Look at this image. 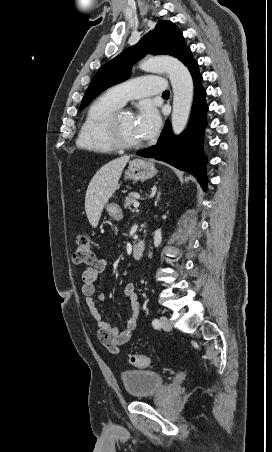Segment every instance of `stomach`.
Here are the masks:
<instances>
[{"instance_id":"0dacf381","label":"stomach","mask_w":272,"mask_h":452,"mask_svg":"<svg viewBox=\"0 0 272 452\" xmlns=\"http://www.w3.org/2000/svg\"><path fill=\"white\" fill-rule=\"evenodd\" d=\"M157 174V169L151 160L135 158L129 162V166L125 171V179L145 181ZM106 210L109 216L114 220H121L123 217L122 210L115 203H108Z\"/></svg>"}]
</instances>
